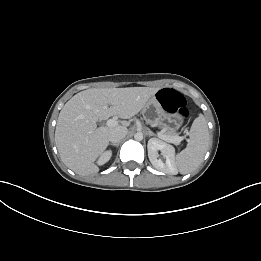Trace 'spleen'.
Returning <instances> with one entry per match:
<instances>
[{
  "instance_id": "3e777b00",
  "label": "spleen",
  "mask_w": 261,
  "mask_h": 261,
  "mask_svg": "<svg viewBox=\"0 0 261 261\" xmlns=\"http://www.w3.org/2000/svg\"><path fill=\"white\" fill-rule=\"evenodd\" d=\"M209 145V132L205 118L198 116L190 129V140L176 155L175 165L181 174L194 171L201 164Z\"/></svg>"
}]
</instances>
